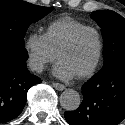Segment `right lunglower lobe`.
Here are the masks:
<instances>
[{
  "label": "right lung lower lobe",
  "mask_w": 125,
  "mask_h": 125,
  "mask_svg": "<svg viewBox=\"0 0 125 125\" xmlns=\"http://www.w3.org/2000/svg\"><path fill=\"white\" fill-rule=\"evenodd\" d=\"M24 47L0 39V123L16 118L27 101L31 86L41 83L26 67Z\"/></svg>",
  "instance_id": "right-lung-lower-lobe-1"
}]
</instances>
